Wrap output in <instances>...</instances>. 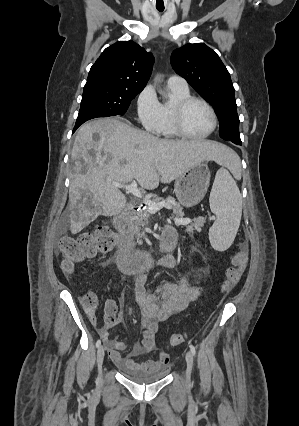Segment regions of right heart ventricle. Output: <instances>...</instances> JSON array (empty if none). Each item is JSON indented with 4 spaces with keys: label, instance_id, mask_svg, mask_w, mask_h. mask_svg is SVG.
Returning <instances> with one entry per match:
<instances>
[{
    "label": "right heart ventricle",
    "instance_id": "1",
    "mask_svg": "<svg viewBox=\"0 0 299 426\" xmlns=\"http://www.w3.org/2000/svg\"><path fill=\"white\" fill-rule=\"evenodd\" d=\"M171 99L161 103V127L159 133L165 137H177L173 123V108L177 101L190 96L189 89H181L168 85Z\"/></svg>",
    "mask_w": 299,
    "mask_h": 426
}]
</instances>
